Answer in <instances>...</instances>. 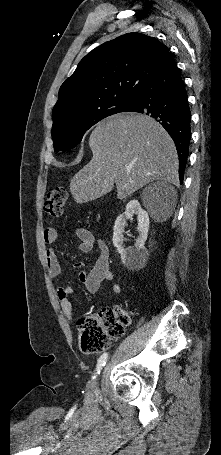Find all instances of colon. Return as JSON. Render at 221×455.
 <instances>
[{"label": "colon", "mask_w": 221, "mask_h": 455, "mask_svg": "<svg viewBox=\"0 0 221 455\" xmlns=\"http://www.w3.org/2000/svg\"><path fill=\"white\" fill-rule=\"evenodd\" d=\"M68 197L63 186L52 189L44 202V211L52 218L62 215ZM128 312L119 306L105 307L98 315L85 316L78 320L80 347L83 352L96 353L105 350L112 339L121 337L130 324Z\"/></svg>", "instance_id": "obj_1"}]
</instances>
